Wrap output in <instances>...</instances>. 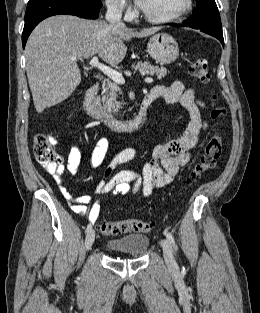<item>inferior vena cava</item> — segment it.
I'll return each mask as SVG.
<instances>
[{
    "instance_id": "inferior-vena-cava-1",
    "label": "inferior vena cava",
    "mask_w": 260,
    "mask_h": 313,
    "mask_svg": "<svg viewBox=\"0 0 260 313\" xmlns=\"http://www.w3.org/2000/svg\"><path fill=\"white\" fill-rule=\"evenodd\" d=\"M107 13L105 18L110 24L122 26L123 23L121 21L122 12L120 11L118 4L114 2H108L107 4Z\"/></svg>"
}]
</instances>
